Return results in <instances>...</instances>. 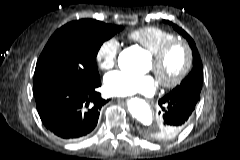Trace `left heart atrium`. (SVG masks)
Wrapping results in <instances>:
<instances>
[{"instance_id":"obj_1","label":"left heart atrium","mask_w":240,"mask_h":160,"mask_svg":"<svg viewBox=\"0 0 240 160\" xmlns=\"http://www.w3.org/2000/svg\"><path fill=\"white\" fill-rule=\"evenodd\" d=\"M104 86L108 94L115 96L139 93L152 95L156 89V82L150 75L136 76L122 71H114L106 76Z\"/></svg>"}]
</instances>
